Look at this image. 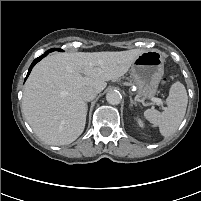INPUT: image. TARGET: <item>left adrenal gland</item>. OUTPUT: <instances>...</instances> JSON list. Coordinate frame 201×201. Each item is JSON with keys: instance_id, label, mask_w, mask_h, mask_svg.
Listing matches in <instances>:
<instances>
[{"instance_id": "1", "label": "left adrenal gland", "mask_w": 201, "mask_h": 201, "mask_svg": "<svg viewBox=\"0 0 201 201\" xmlns=\"http://www.w3.org/2000/svg\"><path fill=\"white\" fill-rule=\"evenodd\" d=\"M136 105V103L133 101L132 97L130 96V106Z\"/></svg>"}]
</instances>
